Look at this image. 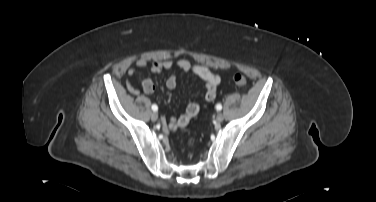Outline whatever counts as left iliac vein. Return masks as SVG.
I'll return each instance as SVG.
<instances>
[{"instance_id":"obj_1","label":"left iliac vein","mask_w":376,"mask_h":202,"mask_svg":"<svg viewBox=\"0 0 376 202\" xmlns=\"http://www.w3.org/2000/svg\"><path fill=\"white\" fill-rule=\"evenodd\" d=\"M224 120V116H223V114L221 113V112H219L218 114H217V116H216V121L217 122H222Z\"/></svg>"}]
</instances>
